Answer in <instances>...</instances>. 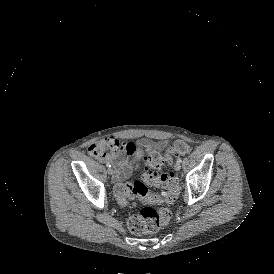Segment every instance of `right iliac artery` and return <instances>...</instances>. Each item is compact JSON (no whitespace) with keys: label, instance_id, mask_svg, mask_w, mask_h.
Masks as SVG:
<instances>
[{"label":"right iliac artery","instance_id":"82829eb1","mask_svg":"<svg viewBox=\"0 0 274 274\" xmlns=\"http://www.w3.org/2000/svg\"><path fill=\"white\" fill-rule=\"evenodd\" d=\"M106 166H107L108 168H110V167H111V165H110L109 163H107V164H106Z\"/></svg>","mask_w":274,"mask_h":274}]
</instances>
